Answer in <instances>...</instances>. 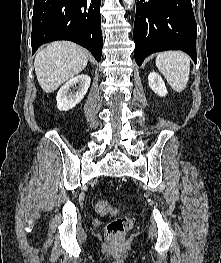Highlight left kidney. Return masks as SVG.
<instances>
[{
	"label": "left kidney",
	"mask_w": 221,
	"mask_h": 263,
	"mask_svg": "<svg viewBox=\"0 0 221 263\" xmlns=\"http://www.w3.org/2000/svg\"><path fill=\"white\" fill-rule=\"evenodd\" d=\"M148 83L150 88L159 96L163 97L168 93L165 83L158 73L151 72L148 75Z\"/></svg>",
	"instance_id": "1"
}]
</instances>
